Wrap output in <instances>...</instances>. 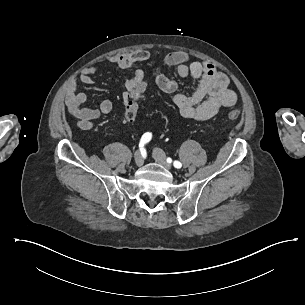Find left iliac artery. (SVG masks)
<instances>
[{
    "mask_svg": "<svg viewBox=\"0 0 305 305\" xmlns=\"http://www.w3.org/2000/svg\"><path fill=\"white\" fill-rule=\"evenodd\" d=\"M167 162L170 163L171 159L167 158ZM173 165H174L175 168H181V166H182V164L179 161H174Z\"/></svg>",
    "mask_w": 305,
    "mask_h": 305,
    "instance_id": "1",
    "label": "left iliac artery"
}]
</instances>
